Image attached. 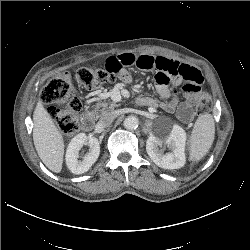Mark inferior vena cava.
<instances>
[{
  "label": "inferior vena cava",
  "mask_w": 250,
  "mask_h": 250,
  "mask_svg": "<svg viewBox=\"0 0 250 250\" xmlns=\"http://www.w3.org/2000/svg\"><path fill=\"white\" fill-rule=\"evenodd\" d=\"M116 118V113L111 111V112H105L101 118L98 121V126L101 128L108 127L109 125L112 124L114 119Z\"/></svg>",
  "instance_id": "1"
}]
</instances>
